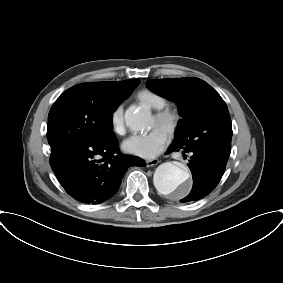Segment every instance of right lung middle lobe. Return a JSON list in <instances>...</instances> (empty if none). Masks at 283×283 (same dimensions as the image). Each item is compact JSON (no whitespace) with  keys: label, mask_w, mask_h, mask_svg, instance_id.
Here are the masks:
<instances>
[{"label":"right lung middle lobe","mask_w":283,"mask_h":283,"mask_svg":"<svg viewBox=\"0 0 283 283\" xmlns=\"http://www.w3.org/2000/svg\"><path fill=\"white\" fill-rule=\"evenodd\" d=\"M131 93L100 103L79 85L69 88L49 112L48 143L50 146L82 140L103 143L114 138L112 113Z\"/></svg>","instance_id":"obj_1"}]
</instances>
